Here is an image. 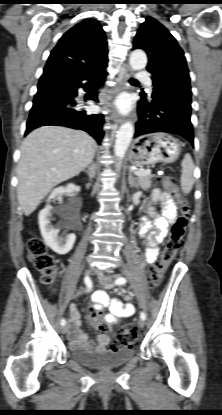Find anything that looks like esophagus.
Segmentation results:
<instances>
[{"label": "esophagus", "mask_w": 222, "mask_h": 415, "mask_svg": "<svg viewBox=\"0 0 222 415\" xmlns=\"http://www.w3.org/2000/svg\"><path fill=\"white\" fill-rule=\"evenodd\" d=\"M131 76V69L129 67H126L119 75L121 86L119 87V90H123L125 88L126 81ZM109 120H111L113 123L120 125L123 122V118L118 114L116 110H113L111 115L109 116Z\"/></svg>", "instance_id": "1"}]
</instances>
